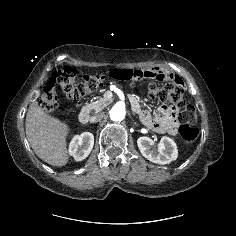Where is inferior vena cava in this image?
<instances>
[{"label":"inferior vena cava","instance_id":"602c4592","mask_svg":"<svg viewBox=\"0 0 236 236\" xmlns=\"http://www.w3.org/2000/svg\"><path fill=\"white\" fill-rule=\"evenodd\" d=\"M102 118H103V113H99V114H97V115H95V116H92V117L90 118V122H91V123H95V122H97V121H100Z\"/></svg>","mask_w":236,"mask_h":236}]
</instances>
